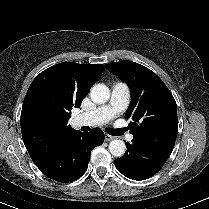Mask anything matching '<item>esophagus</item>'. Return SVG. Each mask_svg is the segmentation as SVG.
Listing matches in <instances>:
<instances>
[{"label":"esophagus","instance_id":"1","mask_svg":"<svg viewBox=\"0 0 209 209\" xmlns=\"http://www.w3.org/2000/svg\"><path fill=\"white\" fill-rule=\"evenodd\" d=\"M113 139H114V137L111 136V135H109V134H105V135H104V140L107 141V142H108V141H111V140H113Z\"/></svg>","mask_w":209,"mask_h":209}]
</instances>
